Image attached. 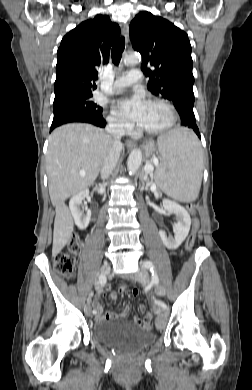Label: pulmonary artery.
I'll use <instances>...</instances> for the list:
<instances>
[{"mask_svg":"<svg viewBox=\"0 0 252 390\" xmlns=\"http://www.w3.org/2000/svg\"><path fill=\"white\" fill-rule=\"evenodd\" d=\"M141 71L138 69H132L128 71L124 76L119 77L114 85L113 90L114 91H120L125 87L131 86L137 82L140 81L141 78Z\"/></svg>","mask_w":252,"mask_h":390,"instance_id":"obj_1","label":"pulmonary artery"}]
</instances>
